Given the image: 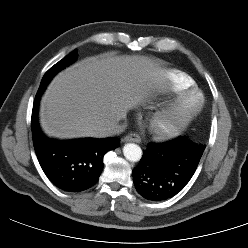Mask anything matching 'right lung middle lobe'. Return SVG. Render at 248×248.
I'll use <instances>...</instances> for the list:
<instances>
[{
    "mask_svg": "<svg viewBox=\"0 0 248 248\" xmlns=\"http://www.w3.org/2000/svg\"><path fill=\"white\" fill-rule=\"evenodd\" d=\"M76 55H77V50L75 49L68 56L60 60L54 66H52L45 73L40 85H47L56 73H58L60 70L64 69L65 67L69 66L73 62Z\"/></svg>",
    "mask_w": 248,
    "mask_h": 248,
    "instance_id": "dd1d6c3e",
    "label": "right lung middle lobe"
}]
</instances>
